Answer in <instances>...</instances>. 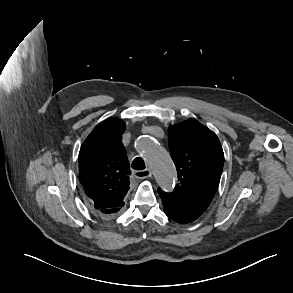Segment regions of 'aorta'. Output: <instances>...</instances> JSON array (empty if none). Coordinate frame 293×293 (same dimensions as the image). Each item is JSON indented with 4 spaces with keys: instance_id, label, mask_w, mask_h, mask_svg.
<instances>
[{
    "instance_id": "1",
    "label": "aorta",
    "mask_w": 293,
    "mask_h": 293,
    "mask_svg": "<svg viewBox=\"0 0 293 293\" xmlns=\"http://www.w3.org/2000/svg\"><path fill=\"white\" fill-rule=\"evenodd\" d=\"M139 149L152 166L159 186L165 191H171L175 184L176 170L167 151L150 137L141 139Z\"/></svg>"
}]
</instances>
